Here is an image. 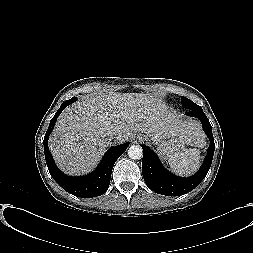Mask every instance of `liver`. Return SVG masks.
<instances>
[{"label":"liver","mask_w":253,"mask_h":253,"mask_svg":"<svg viewBox=\"0 0 253 253\" xmlns=\"http://www.w3.org/2000/svg\"><path fill=\"white\" fill-rule=\"evenodd\" d=\"M137 132L153 142L170 135L199 145L205 138L197 120L168 110L157 96L107 92L84 96L67 107L58 117L49 148L62 171L86 174L112 145V134L121 133L124 142Z\"/></svg>","instance_id":"liver-1"}]
</instances>
